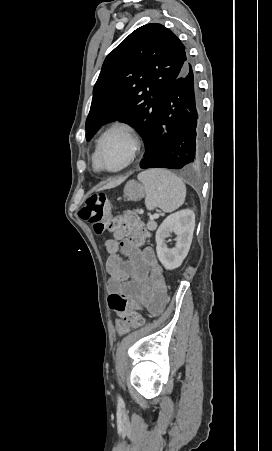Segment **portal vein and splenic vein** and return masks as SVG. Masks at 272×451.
<instances>
[{
	"mask_svg": "<svg viewBox=\"0 0 272 451\" xmlns=\"http://www.w3.org/2000/svg\"><path fill=\"white\" fill-rule=\"evenodd\" d=\"M152 218H158L157 214H154V216H152Z\"/></svg>",
	"mask_w": 272,
	"mask_h": 451,
	"instance_id": "portal-vein-and-splenic-vein-1",
	"label": "portal vein and splenic vein"
}]
</instances>
